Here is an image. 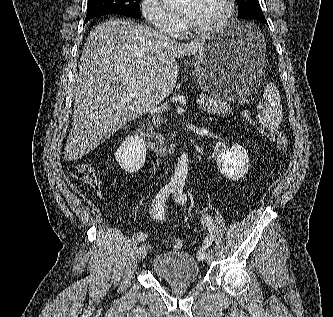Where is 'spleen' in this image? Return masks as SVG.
Wrapping results in <instances>:
<instances>
[{
  "instance_id": "3e777b00",
  "label": "spleen",
  "mask_w": 333,
  "mask_h": 317,
  "mask_svg": "<svg viewBox=\"0 0 333 317\" xmlns=\"http://www.w3.org/2000/svg\"><path fill=\"white\" fill-rule=\"evenodd\" d=\"M265 108L258 114L259 123L271 132L278 130L282 121V103L274 83H269L263 94Z\"/></svg>"
}]
</instances>
